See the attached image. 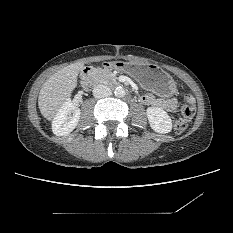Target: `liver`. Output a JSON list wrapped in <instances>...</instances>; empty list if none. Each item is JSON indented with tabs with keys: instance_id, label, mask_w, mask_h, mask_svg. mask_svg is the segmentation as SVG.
<instances>
[{
	"instance_id": "liver-1",
	"label": "liver",
	"mask_w": 233,
	"mask_h": 233,
	"mask_svg": "<svg viewBox=\"0 0 233 233\" xmlns=\"http://www.w3.org/2000/svg\"><path fill=\"white\" fill-rule=\"evenodd\" d=\"M83 66L82 62L70 64L46 80L38 97V106L44 118L51 121L56 117L76 88L77 77Z\"/></svg>"
}]
</instances>
